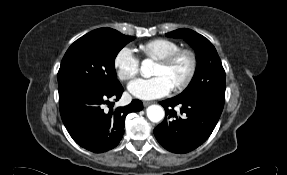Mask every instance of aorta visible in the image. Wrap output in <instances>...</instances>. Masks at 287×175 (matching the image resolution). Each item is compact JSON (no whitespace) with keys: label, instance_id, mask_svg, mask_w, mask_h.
<instances>
[{"label":"aorta","instance_id":"762f6f07","mask_svg":"<svg viewBox=\"0 0 287 175\" xmlns=\"http://www.w3.org/2000/svg\"><path fill=\"white\" fill-rule=\"evenodd\" d=\"M153 62L150 59H145L141 65V72L144 76L151 75L150 68ZM147 117L151 122H160L165 115L164 109L160 105H151L146 109Z\"/></svg>","mask_w":287,"mask_h":175}]
</instances>
